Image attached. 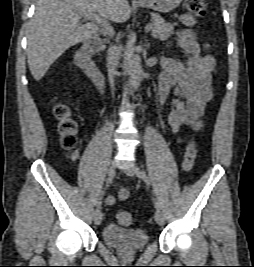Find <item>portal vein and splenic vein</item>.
Segmentation results:
<instances>
[{
	"instance_id": "1",
	"label": "portal vein and splenic vein",
	"mask_w": 254,
	"mask_h": 267,
	"mask_svg": "<svg viewBox=\"0 0 254 267\" xmlns=\"http://www.w3.org/2000/svg\"><path fill=\"white\" fill-rule=\"evenodd\" d=\"M84 16L87 19H93L95 21H97L98 23H102L105 27H104V31L108 34V35H113V29L109 26V24L105 23L98 15L96 14H91V13H84ZM151 30V25L147 24L145 26V31H150Z\"/></svg>"
}]
</instances>
